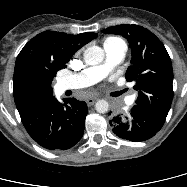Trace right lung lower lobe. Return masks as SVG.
I'll return each instance as SVG.
<instances>
[{"label": "right lung lower lobe", "mask_w": 187, "mask_h": 187, "mask_svg": "<svg viewBox=\"0 0 187 187\" xmlns=\"http://www.w3.org/2000/svg\"><path fill=\"white\" fill-rule=\"evenodd\" d=\"M87 105L75 98L50 97L20 113L29 135L49 150H66L83 136Z\"/></svg>", "instance_id": "98d812e1"}]
</instances>
